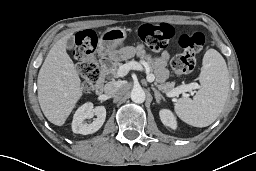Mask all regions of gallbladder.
<instances>
[{
  "instance_id": "1",
  "label": "gallbladder",
  "mask_w": 256,
  "mask_h": 171,
  "mask_svg": "<svg viewBox=\"0 0 256 171\" xmlns=\"http://www.w3.org/2000/svg\"><path fill=\"white\" fill-rule=\"evenodd\" d=\"M74 46H75V40H74V37L71 36L66 41V48L71 50Z\"/></svg>"
}]
</instances>
